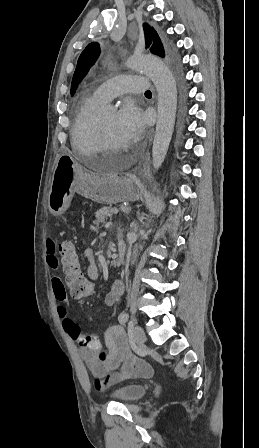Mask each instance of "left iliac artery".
Returning <instances> with one entry per match:
<instances>
[{
    "label": "left iliac artery",
    "mask_w": 259,
    "mask_h": 448,
    "mask_svg": "<svg viewBox=\"0 0 259 448\" xmlns=\"http://www.w3.org/2000/svg\"><path fill=\"white\" fill-rule=\"evenodd\" d=\"M128 318H129V315L127 313H123L119 317V322L125 323V322H127ZM130 324H132V322H130Z\"/></svg>",
    "instance_id": "left-iliac-artery-1"
}]
</instances>
